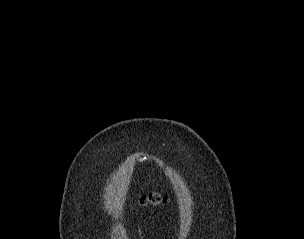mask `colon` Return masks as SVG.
Segmentation results:
<instances>
[{
    "label": "colon",
    "instance_id": "colon-1",
    "mask_svg": "<svg viewBox=\"0 0 304 239\" xmlns=\"http://www.w3.org/2000/svg\"><path fill=\"white\" fill-rule=\"evenodd\" d=\"M166 201V198L164 195L160 193H151L148 195H144L140 198V204L142 206H156L164 203Z\"/></svg>",
    "mask_w": 304,
    "mask_h": 239
}]
</instances>
